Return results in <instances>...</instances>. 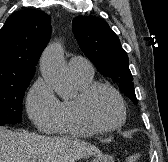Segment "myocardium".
<instances>
[{"instance_id":"obj_1","label":"myocardium","mask_w":168,"mask_h":162,"mask_svg":"<svg viewBox=\"0 0 168 162\" xmlns=\"http://www.w3.org/2000/svg\"><path fill=\"white\" fill-rule=\"evenodd\" d=\"M106 89L116 98L120 107L119 120L108 126L96 123L89 114L88 101L92 94L99 90ZM74 108L80 122L91 129L93 132H112L120 129L127 119V108L121 93L112 85L102 82H94L80 89L78 96L74 99Z\"/></svg>"}]
</instances>
